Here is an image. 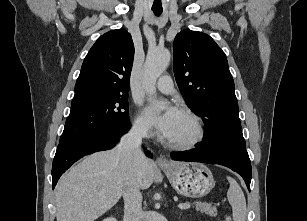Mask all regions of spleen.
Returning <instances> with one entry per match:
<instances>
[{"label": "spleen", "mask_w": 307, "mask_h": 221, "mask_svg": "<svg viewBox=\"0 0 307 221\" xmlns=\"http://www.w3.org/2000/svg\"><path fill=\"white\" fill-rule=\"evenodd\" d=\"M227 180L230 184L227 197L232 206L233 219L234 221H245L247 209L244 193L235 179L227 176Z\"/></svg>", "instance_id": "spleen-1"}]
</instances>
